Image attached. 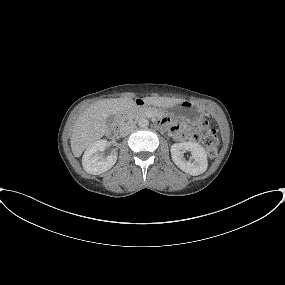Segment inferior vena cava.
<instances>
[{"instance_id": "obj_1", "label": "inferior vena cava", "mask_w": 285, "mask_h": 285, "mask_svg": "<svg viewBox=\"0 0 285 285\" xmlns=\"http://www.w3.org/2000/svg\"><path fill=\"white\" fill-rule=\"evenodd\" d=\"M135 128H136L135 123H133V122L125 123L119 129L120 135L121 136H126L129 133H131Z\"/></svg>"}]
</instances>
